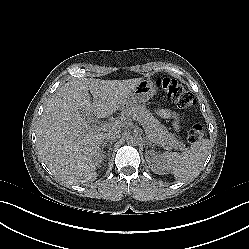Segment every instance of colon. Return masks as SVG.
<instances>
[{"label": "colon", "mask_w": 249, "mask_h": 249, "mask_svg": "<svg viewBox=\"0 0 249 249\" xmlns=\"http://www.w3.org/2000/svg\"><path fill=\"white\" fill-rule=\"evenodd\" d=\"M157 87L162 89L167 96L181 109L187 110L195 105V96L187 91L177 80L161 78L156 82ZM205 134L201 125L193 126L187 134L188 140L195 142Z\"/></svg>", "instance_id": "5ec220e1"}]
</instances>
